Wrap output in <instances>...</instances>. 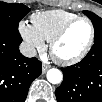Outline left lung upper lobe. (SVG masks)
<instances>
[{"label": "left lung upper lobe", "instance_id": "obj_1", "mask_svg": "<svg viewBox=\"0 0 102 102\" xmlns=\"http://www.w3.org/2000/svg\"><path fill=\"white\" fill-rule=\"evenodd\" d=\"M92 21L95 29L94 42L102 40V19L90 11H83Z\"/></svg>", "mask_w": 102, "mask_h": 102}]
</instances>
